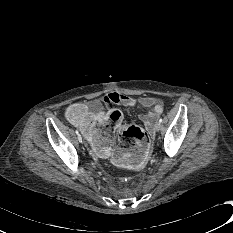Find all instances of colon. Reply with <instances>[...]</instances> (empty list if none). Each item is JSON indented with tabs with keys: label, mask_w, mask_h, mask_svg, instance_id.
Segmentation results:
<instances>
[{
	"label": "colon",
	"mask_w": 233,
	"mask_h": 233,
	"mask_svg": "<svg viewBox=\"0 0 233 233\" xmlns=\"http://www.w3.org/2000/svg\"><path fill=\"white\" fill-rule=\"evenodd\" d=\"M84 112V107L81 104H76L70 109L69 117L71 122L79 120ZM120 134V141L123 148H130L135 144L145 142L147 136L142 128L137 125H123L118 128Z\"/></svg>",
	"instance_id": "obj_1"
}]
</instances>
